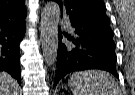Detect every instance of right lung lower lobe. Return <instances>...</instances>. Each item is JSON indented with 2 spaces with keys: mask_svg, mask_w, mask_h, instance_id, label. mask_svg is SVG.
Wrapping results in <instances>:
<instances>
[{
  "mask_svg": "<svg viewBox=\"0 0 135 95\" xmlns=\"http://www.w3.org/2000/svg\"><path fill=\"white\" fill-rule=\"evenodd\" d=\"M25 17L19 20H0V71L8 72L21 84L19 44L25 34Z\"/></svg>",
  "mask_w": 135,
  "mask_h": 95,
  "instance_id": "obj_1",
  "label": "right lung lower lobe"
}]
</instances>
